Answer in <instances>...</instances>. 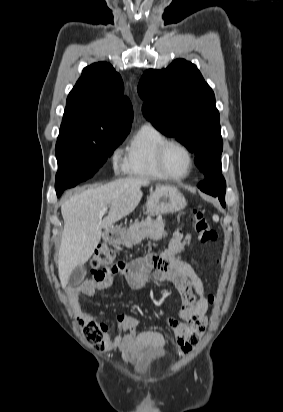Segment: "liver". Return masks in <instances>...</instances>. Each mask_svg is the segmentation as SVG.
<instances>
[{
    "instance_id": "6515ba94",
    "label": "liver",
    "mask_w": 283,
    "mask_h": 412,
    "mask_svg": "<svg viewBox=\"0 0 283 412\" xmlns=\"http://www.w3.org/2000/svg\"><path fill=\"white\" fill-rule=\"evenodd\" d=\"M150 183L146 178H124L89 188L65 201L61 206L64 219L58 271L61 284L77 266L87 262L100 242L102 229L132 213L142 198L141 186ZM109 207L101 220L100 211Z\"/></svg>"
}]
</instances>
